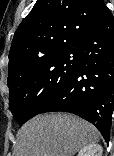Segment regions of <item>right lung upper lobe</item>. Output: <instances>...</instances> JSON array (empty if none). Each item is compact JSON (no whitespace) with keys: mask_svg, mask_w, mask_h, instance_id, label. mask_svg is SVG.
<instances>
[{"mask_svg":"<svg viewBox=\"0 0 114 156\" xmlns=\"http://www.w3.org/2000/svg\"><path fill=\"white\" fill-rule=\"evenodd\" d=\"M108 11L103 0H37L14 34L8 86L41 61L76 47Z\"/></svg>","mask_w":114,"mask_h":156,"instance_id":"obj_1","label":"right lung upper lobe"}]
</instances>
